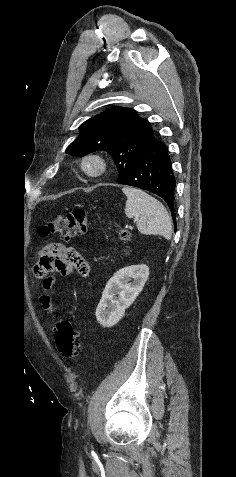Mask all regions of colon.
I'll use <instances>...</instances> for the list:
<instances>
[{
  "label": "colon",
  "mask_w": 236,
  "mask_h": 477,
  "mask_svg": "<svg viewBox=\"0 0 236 477\" xmlns=\"http://www.w3.org/2000/svg\"><path fill=\"white\" fill-rule=\"evenodd\" d=\"M88 218L84 209L77 208L72 212L57 216L49 221L40 230V235L46 237L49 235L60 236L65 239L81 236L87 232ZM121 240H127L129 233L125 230L119 233ZM56 250L48 246L41 251V257H45ZM77 261L83 263L81 257H77ZM85 270V267H83ZM56 346L61 355L69 360H76L81 356V348L79 344V333L73 323L68 319H63L57 324L55 331Z\"/></svg>",
  "instance_id": "5ec220e1"
}]
</instances>
